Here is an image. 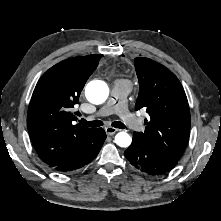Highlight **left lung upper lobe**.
Here are the masks:
<instances>
[{"label": "left lung upper lobe", "mask_w": 221, "mask_h": 221, "mask_svg": "<svg viewBox=\"0 0 221 221\" xmlns=\"http://www.w3.org/2000/svg\"><path fill=\"white\" fill-rule=\"evenodd\" d=\"M139 96L135 108L146 109L145 132L137 133L145 142L179 160L190 133V110L178 78L165 66L149 59L135 58Z\"/></svg>", "instance_id": "1"}]
</instances>
